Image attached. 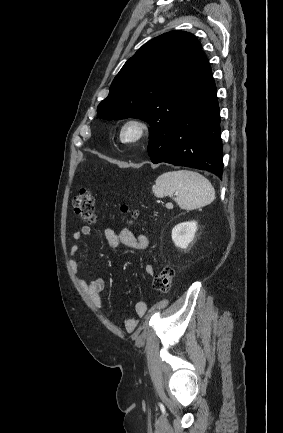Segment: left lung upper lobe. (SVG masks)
<instances>
[{"label":"left lung upper lobe","instance_id":"left-lung-upper-lobe-1","mask_svg":"<svg viewBox=\"0 0 283 433\" xmlns=\"http://www.w3.org/2000/svg\"><path fill=\"white\" fill-rule=\"evenodd\" d=\"M208 64L196 37L170 31L144 44L114 78L100 102L102 119L141 118L154 128L193 114L200 78ZM150 131V132H151Z\"/></svg>","mask_w":283,"mask_h":433}]
</instances>
